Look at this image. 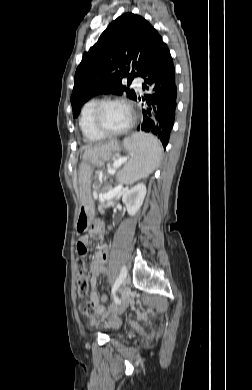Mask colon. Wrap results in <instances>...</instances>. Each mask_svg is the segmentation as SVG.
<instances>
[{
    "instance_id": "colon-1",
    "label": "colon",
    "mask_w": 252,
    "mask_h": 390,
    "mask_svg": "<svg viewBox=\"0 0 252 390\" xmlns=\"http://www.w3.org/2000/svg\"><path fill=\"white\" fill-rule=\"evenodd\" d=\"M82 231L85 230V225L81 229ZM84 249H86L85 246H83ZM79 254V253H78ZM80 257L76 260V282H77V291L80 296H85L88 293L89 290V273L87 269L86 262L84 260L85 255L79 254ZM103 302L107 301V296H102ZM80 310L87 314L92 315L94 314V305L89 301H84L80 305Z\"/></svg>"
}]
</instances>
